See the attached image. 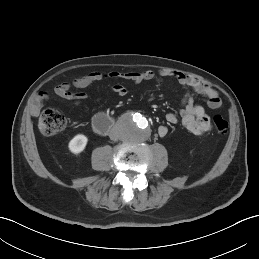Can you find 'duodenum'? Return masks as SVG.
I'll return each instance as SVG.
<instances>
[{"label": "duodenum", "mask_w": 259, "mask_h": 259, "mask_svg": "<svg viewBox=\"0 0 259 259\" xmlns=\"http://www.w3.org/2000/svg\"><path fill=\"white\" fill-rule=\"evenodd\" d=\"M112 125V118L106 115H99L94 119L92 123V129L95 134L102 135L108 133L111 130Z\"/></svg>", "instance_id": "1"}]
</instances>
